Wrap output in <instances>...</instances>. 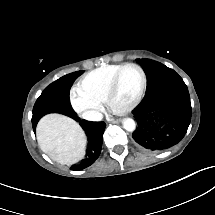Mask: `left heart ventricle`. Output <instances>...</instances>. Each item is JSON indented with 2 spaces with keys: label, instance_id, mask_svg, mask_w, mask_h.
<instances>
[{
  "label": "left heart ventricle",
  "instance_id": "obj_1",
  "mask_svg": "<svg viewBox=\"0 0 215 215\" xmlns=\"http://www.w3.org/2000/svg\"><path fill=\"white\" fill-rule=\"evenodd\" d=\"M118 75L120 87L115 94V101L119 105H124L128 103L134 95L138 83V75L137 72L131 68L119 71Z\"/></svg>",
  "mask_w": 215,
  "mask_h": 215
}]
</instances>
